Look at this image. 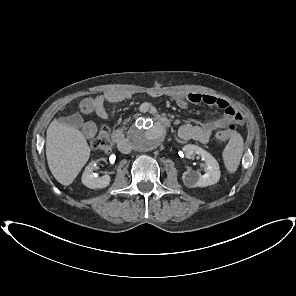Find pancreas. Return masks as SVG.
Returning a JSON list of instances; mask_svg holds the SVG:
<instances>
[{"instance_id": "1", "label": "pancreas", "mask_w": 296, "mask_h": 296, "mask_svg": "<svg viewBox=\"0 0 296 296\" xmlns=\"http://www.w3.org/2000/svg\"><path fill=\"white\" fill-rule=\"evenodd\" d=\"M128 121H129V120H128V119H126V120H125V122H124V124H127V122H128Z\"/></svg>"}]
</instances>
